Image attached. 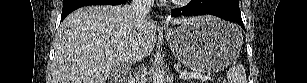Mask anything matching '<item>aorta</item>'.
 <instances>
[{
    "label": "aorta",
    "mask_w": 307,
    "mask_h": 83,
    "mask_svg": "<svg viewBox=\"0 0 307 83\" xmlns=\"http://www.w3.org/2000/svg\"><path fill=\"white\" fill-rule=\"evenodd\" d=\"M154 83H165V74L160 68H156L153 77Z\"/></svg>",
    "instance_id": "obj_1"
}]
</instances>
